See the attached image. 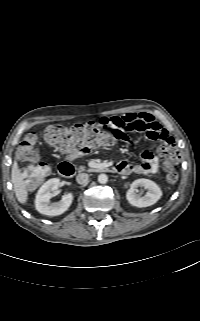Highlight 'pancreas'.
Wrapping results in <instances>:
<instances>
[{
    "label": "pancreas",
    "instance_id": "cf45deb5",
    "mask_svg": "<svg viewBox=\"0 0 200 321\" xmlns=\"http://www.w3.org/2000/svg\"><path fill=\"white\" fill-rule=\"evenodd\" d=\"M78 169H79V171H84L85 170V166H80Z\"/></svg>",
    "mask_w": 200,
    "mask_h": 321
}]
</instances>
